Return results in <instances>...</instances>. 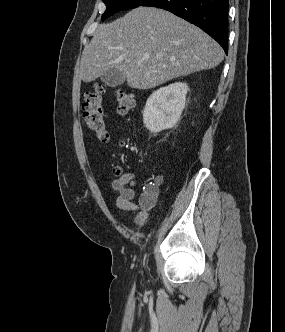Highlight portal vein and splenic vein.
I'll use <instances>...</instances> for the list:
<instances>
[{"instance_id":"obj_1","label":"portal vein and splenic vein","mask_w":285,"mask_h":332,"mask_svg":"<svg viewBox=\"0 0 285 332\" xmlns=\"http://www.w3.org/2000/svg\"><path fill=\"white\" fill-rule=\"evenodd\" d=\"M144 58H145V59H147V58H148V56H145Z\"/></svg>"}]
</instances>
